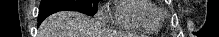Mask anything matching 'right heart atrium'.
Returning a JSON list of instances; mask_svg holds the SVG:
<instances>
[{"label":"right heart atrium","mask_w":219,"mask_h":37,"mask_svg":"<svg viewBox=\"0 0 219 37\" xmlns=\"http://www.w3.org/2000/svg\"><path fill=\"white\" fill-rule=\"evenodd\" d=\"M98 14H99L100 17L105 18L106 11L105 10H101Z\"/></svg>","instance_id":"right-heart-atrium-1"}]
</instances>
